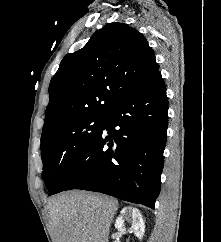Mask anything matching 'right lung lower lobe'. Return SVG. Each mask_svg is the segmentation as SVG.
I'll use <instances>...</instances> for the list:
<instances>
[{
  "label": "right lung lower lobe",
  "mask_w": 221,
  "mask_h": 242,
  "mask_svg": "<svg viewBox=\"0 0 221 242\" xmlns=\"http://www.w3.org/2000/svg\"><path fill=\"white\" fill-rule=\"evenodd\" d=\"M167 113L165 83L158 71L103 114L100 132L73 160L50 195L82 189L154 209L164 164Z\"/></svg>",
  "instance_id": "obj_1"
}]
</instances>
